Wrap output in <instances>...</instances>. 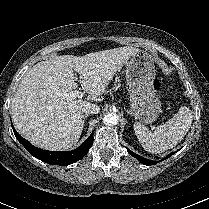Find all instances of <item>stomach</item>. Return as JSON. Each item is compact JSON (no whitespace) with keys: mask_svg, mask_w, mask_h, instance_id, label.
<instances>
[{"mask_svg":"<svg viewBox=\"0 0 209 209\" xmlns=\"http://www.w3.org/2000/svg\"><path fill=\"white\" fill-rule=\"evenodd\" d=\"M155 71L152 56L142 50L131 56L126 67L131 111L146 123L155 121L162 112L161 101L153 86Z\"/></svg>","mask_w":209,"mask_h":209,"instance_id":"obj_1","label":"stomach"}]
</instances>
